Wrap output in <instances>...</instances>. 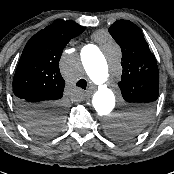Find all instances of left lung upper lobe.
Masks as SVG:
<instances>
[{
  "mask_svg": "<svg viewBox=\"0 0 174 174\" xmlns=\"http://www.w3.org/2000/svg\"><path fill=\"white\" fill-rule=\"evenodd\" d=\"M109 33L122 51L123 74L118 84L129 103L130 116L125 126H113L111 134L128 138L142 130L150 121L159 93L157 62L141 30L128 20H118Z\"/></svg>",
  "mask_w": 174,
  "mask_h": 174,
  "instance_id": "obj_1",
  "label": "left lung upper lobe"
}]
</instances>
